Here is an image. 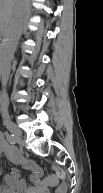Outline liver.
I'll use <instances>...</instances> for the list:
<instances>
[{"mask_svg":"<svg viewBox=\"0 0 103 193\" xmlns=\"http://www.w3.org/2000/svg\"><path fill=\"white\" fill-rule=\"evenodd\" d=\"M22 6V0H0V27L4 37L8 35L15 16Z\"/></svg>","mask_w":103,"mask_h":193,"instance_id":"obj_1","label":"liver"}]
</instances>
